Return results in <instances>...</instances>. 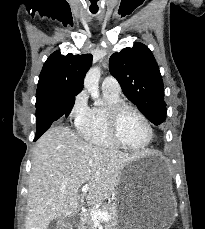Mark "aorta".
<instances>
[{
	"label": "aorta",
	"instance_id": "aorta-1",
	"mask_svg": "<svg viewBox=\"0 0 205 229\" xmlns=\"http://www.w3.org/2000/svg\"><path fill=\"white\" fill-rule=\"evenodd\" d=\"M100 77V68L92 67L89 69L84 79V88L91 94V97L95 100L96 105H101L103 103L99 94Z\"/></svg>",
	"mask_w": 205,
	"mask_h": 229
}]
</instances>
